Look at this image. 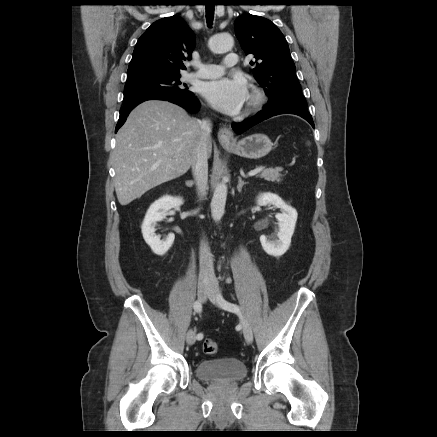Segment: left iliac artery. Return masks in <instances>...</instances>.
Returning <instances> with one entry per match:
<instances>
[{
	"label": "left iliac artery",
	"mask_w": 437,
	"mask_h": 437,
	"mask_svg": "<svg viewBox=\"0 0 437 437\" xmlns=\"http://www.w3.org/2000/svg\"><path fill=\"white\" fill-rule=\"evenodd\" d=\"M217 299H218V303H219V305H220L223 309L228 310V311H231V312H238V311H240L239 306H237L236 304H233V303H230V302L226 301V300L222 297L221 294H218Z\"/></svg>",
	"instance_id": "1"
}]
</instances>
